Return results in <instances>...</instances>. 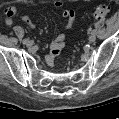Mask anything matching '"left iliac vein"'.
Listing matches in <instances>:
<instances>
[{"label": "left iliac vein", "instance_id": "1", "mask_svg": "<svg viewBox=\"0 0 119 119\" xmlns=\"http://www.w3.org/2000/svg\"><path fill=\"white\" fill-rule=\"evenodd\" d=\"M88 40H89L90 43L95 42V40H96V35H95V34H91V35L89 36Z\"/></svg>", "mask_w": 119, "mask_h": 119}]
</instances>
